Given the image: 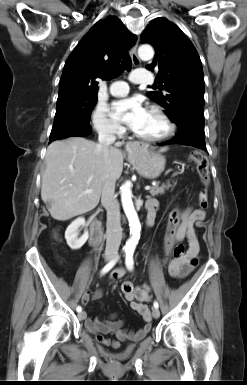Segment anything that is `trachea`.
I'll return each mask as SVG.
<instances>
[{"instance_id": "obj_1", "label": "trachea", "mask_w": 247, "mask_h": 385, "mask_svg": "<svg viewBox=\"0 0 247 385\" xmlns=\"http://www.w3.org/2000/svg\"><path fill=\"white\" fill-rule=\"evenodd\" d=\"M132 67L131 58L128 53L123 54V59L120 65V70L123 72L124 70L129 71Z\"/></svg>"}]
</instances>
